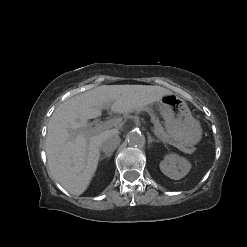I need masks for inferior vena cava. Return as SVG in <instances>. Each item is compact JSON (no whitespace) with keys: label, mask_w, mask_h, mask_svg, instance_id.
I'll use <instances>...</instances> for the list:
<instances>
[{"label":"inferior vena cava","mask_w":247,"mask_h":247,"mask_svg":"<svg viewBox=\"0 0 247 247\" xmlns=\"http://www.w3.org/2000/svg\"><path fill=\"white\" fill-rule=\"evenodd\" d=\"M120 144V137L118 135L107 136L103 139L100 149L105 152V154H109L115 151L117 146Z\"/></svg>","instance_id":"602c4592"}]
</instances>
